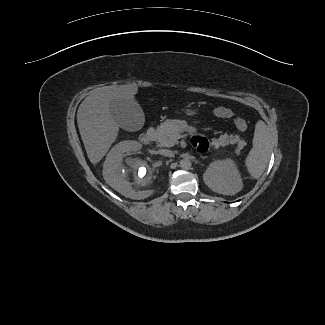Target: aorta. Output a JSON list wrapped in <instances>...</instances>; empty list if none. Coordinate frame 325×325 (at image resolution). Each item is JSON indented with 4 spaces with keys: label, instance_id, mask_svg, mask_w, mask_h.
Here are the masks:
<instances>
[{
    "label": "aorta",
    "instance_id": "762f6f07",
    "mask_svg": "<svg viewBox=\"0 0 325 325\" xmlns=\"http://www.w3.org/2000/svg\"><path fill=\"white\" fill-rule=\"evenodd\" d=\"M180 167L182 169L188 170L191 167V162L189 160H187V159H182L180 161Z\"/></svg>",
    "mask_w": 325,
    "mask_h": 325
}]
</instances>
